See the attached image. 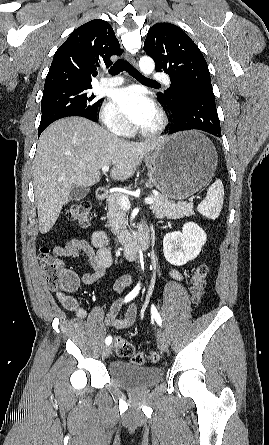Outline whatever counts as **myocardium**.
<instances>
[{"label": "myocardium", "instance_id": "f54148a6", "mask_svg": "<svg viewBox=\"0 0 269 445\" xmlns=\"http://www.w3.org/2000/svg\"><path fill=\"white\" fill-rule=\"evenodd\" d=\"M156 118H157V120L153 127L149 128V129L139 130V133L142 136L153 137V136L159 135L160 133L163 132V130L165 129V127L167 125L166 117L161 111H159V112H157Z\"/></svg>", "mask_w": 269, "mask_h": 445}]
</instances>
